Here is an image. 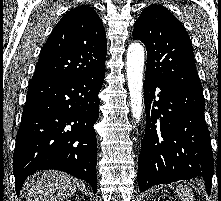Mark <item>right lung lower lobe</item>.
<instances>
[{"label": "right lung lower lobe", "instance_id": "right-lung-lower-lobe-1", "mask_svg": "<svg viewBox=\"0 0 221 201\" xmlns=\"http://www.w3.org/2000/svg\"><path fill=\"white\" fill-rule=\"evenodd\" d=\"M105 70L61 80H30L13 156L16 193L39 170H60L97 190L98 93Z\"/></svg>", "mask_w": 221, "mask_h": 201}]
</instances>
